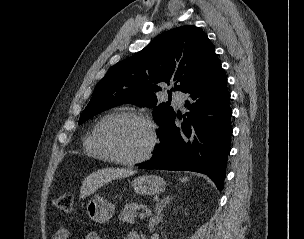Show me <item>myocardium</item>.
Segmentation results:
<instances>
[{
  "mask_svg": "<svg viewBox=\"0 0 304 239\" xmlns=\"http://www.w3.org/2000/svg\"><path fill=\"white\" fill-rule=\"evenodd\" d=\"M125 119H135L145 123L150 130V143L146 150L139 156L134 158H124L119 156L115 150L111 147L107 140V130L115 123L125 120ZM97 142L101 149L107 154L111 161L121 164V165H135L142 163L149 159L154 152L156 145L158 143V133L155 124L152 120L145 114L137 111H122L117 112L110 117H108L100 126L97 132Z\"/></svg>",
  "mask_w": 304,
  "mask_h": 239,
  "instance_id": "obj_1",
  "label": "myocardium"
}]
</instances>
